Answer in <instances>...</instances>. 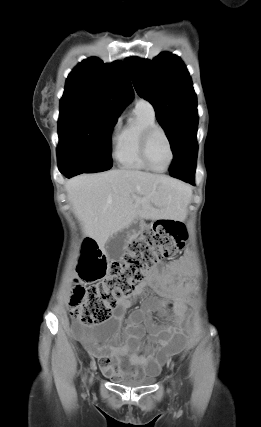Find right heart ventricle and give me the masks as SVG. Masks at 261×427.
Returning <instances> with one entry per match:
<instances>
[{"instance_id":"1","label":"right heart ventricle","mask_w":261,"mask_h":427,"mask_svg":"<svg viewBox=\"0 0 261 427\" xmlns=\"http://www.w3.org/2000/svg\"><path fill=\"white\" fill-rule=\"evenodd\" d=\"M133 113L134 122L126 124L117 135L114 158L124 169L145 171L148 167L140 157V138L145 129L156 126L155 114L136 107Z\"/></svg>"}]
</instances>
